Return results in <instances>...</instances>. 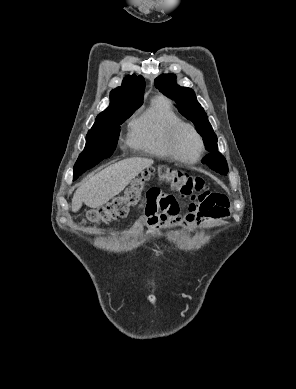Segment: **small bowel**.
<instances>
[{
    "mask_svg": "<svg viewBox=\"0 0 296 389\" xmlns=\"http://www.w3.org/2000/svg\"><path fill=\"white\" fill-rule=\"evenodd\" d=\"M229 207L228 199L215 192L192 195L186 202L173 195L163 194L158 189H151L139 205L133 227L146 224L152 231L162 227L193 231L211 221L227 218ZM183 209H186V213L182 215Z\"/></svg>",
    "mask_w": 296,
    "mask_h": 389,
    "instance_id": "c3829d8e",
    "label": "small bowel"
}]
</instances>
